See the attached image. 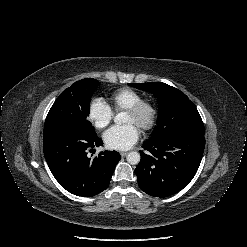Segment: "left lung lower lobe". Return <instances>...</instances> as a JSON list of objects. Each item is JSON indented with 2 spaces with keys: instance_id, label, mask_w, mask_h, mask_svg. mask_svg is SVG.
<instances>
[{
  "instance_id": "left-lung-lower-lobe-1",
  "label": "left lung lower lobe",
  "mask_w": 247,
  "mask_h": 247,
  "mask_svg": "<svg viewBox=\"0 0 247 247\" xmlns=\"http://www.w3.org/2000/svg\"><path fill=\"white\" fill-rule=\"evenodd\" d=\"M205 147L204 135L176 134L148 140L135 169L139 187L153 197L181 191L195 176Z\"/></svg>"
}]
</instances>
